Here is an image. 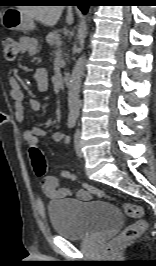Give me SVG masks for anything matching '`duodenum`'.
Wrapping results in <instances>:
<instances>
[{
  "label": "duodenum",
  "mask_w": 156,
  "mask_h": 266,
  "mask_svg": "<svg viewBox=\"0 0 156 266\" xmlns=\"http://www.w3.org/2000/svg\"><path fill=\"white\" fill-rule=\"evenodd\" d=\"M62 81H63L64 85H66V86L70 85L71 75L69 73H65L62 77Z\"/></svg>",
  "instance_id": "obj_1"
}]
</instances>
